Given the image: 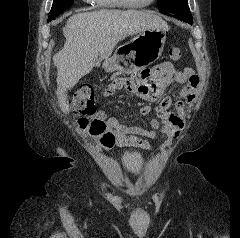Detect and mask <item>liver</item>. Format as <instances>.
Masks as SVG:
<instances>
[{"label": "liver", "mask_w": 240, "mask_h": 238, "mask_svg": "<svg viewBox=\"0 0 240 238\" xmlns=\"http://www.w3.org/2000/svg\"><path fill=\"white\" fill-rule=\"evenodd\" d=\"M151 28L169 30L167 23L150 11L103 9L72 15L63 29L64 47L53 57L61 111L69 112L67 90L90 73L98 58L108 59L120 41Z\"/></svg>", "instance_id": "liver-1"}]
</instances>
